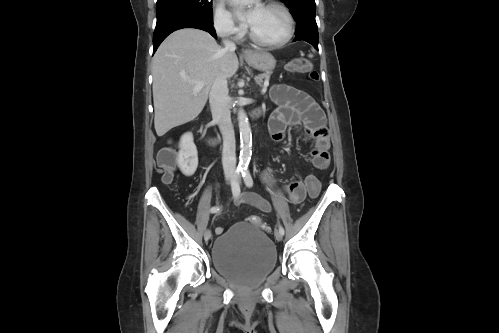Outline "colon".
<instances>
[{
    "label": "colon",
    "mask_w": 499,
    "mask_h": 333,
    "mask_svg": "<svg viewBox=\"0 0 499 333\" xmlns=\"http://www.w3.org/2000/svg\"><path fill=\"white\" fill-rule=\"evenodd\" d=\"M289 68L294 72L308 74L310 79L314 81H317L319 79L318 73L313 70L311 62L306 58H299L292 61L289 65ZM158 163L162 172L163 182L166 184L171 183L173 181L175 172V151L172 148L163 149L159 154ZM303 184L310 198H316L319 195L321 184L319 179L314 174H308L305 177ZM247 220L265 231L269 230V228L258 216H249Z\"/></svg>",
    "instance_id": "obj_1"
}]
</instances>
